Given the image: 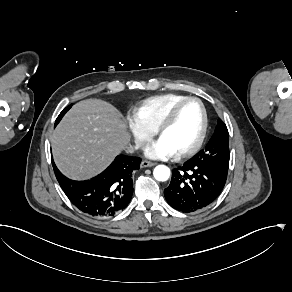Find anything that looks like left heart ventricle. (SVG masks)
<instances>
[{
    "mask_svg": "<svg viewBox=\"0 0 292 292\" xmlns=\"http://www.w3.org/2000/svg\"><path fill=\"white\" fill-rule=\"evenodd\" d=\"M201 112L196 102L185 103L167 126L162 138L174 146L177 151L190 146L199 131Z\"/></svg>",
    "mask_w": 292,
    "mask_h": 292,
    "instance_id": "obj_1",
    "label": "left heart ventricle"
}]
</instances>
